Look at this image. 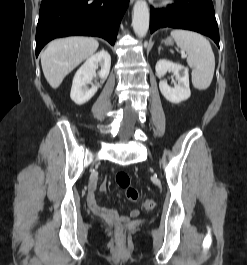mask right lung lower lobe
<instances>
[{
    "mask_svg": "<svg viewBox=\"0 0 247 265\" xmlns=\"http://www.w3.org/2000/svg\"><path fill=\"white\" fill-rule=\"evenodd\" d=\"M129 0H42L36 30V56L50 40L97 36L114 45Z\"/></svg>",
    "mask_w": 247,
    "mask_h": 265,
    "instance_id": "obj_1",
    "label": "right lung lower lobe"
}]
</instances>
